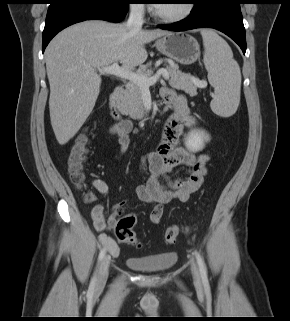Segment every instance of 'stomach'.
<instances>
[{"label":"stomach","mask_w":290,"mask_h":321,"mask_svg":"<svg viewBox=\"0 0 290 321\" xmlns=\"http://www.w3.org/2000/svg\"><path fill=\"white\" fill-rule=\"evenodd\" d=\"M159 52L170 59L190 65L200 56V46L197 40L186 32H170L155 42Z\"/></svg>","instance_id":"0dacf381"}]
</instances>
